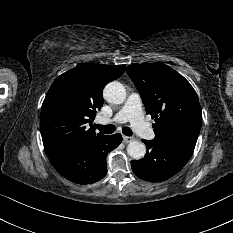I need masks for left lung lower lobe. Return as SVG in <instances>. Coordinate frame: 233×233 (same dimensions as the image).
I'll return each instance as SVG.
<instances>
[{"mask_svg": "<svg viewBox=\"0 0 233 233\" xmlns=\"http://www.w3.org/2000/svg\"><path fill=\"white\" fill-rule=\"evenodd\" d=\"M147 147L143 159L132 160L139 178L149 182L164 181L179 172L190 159L195 146L185 142L143 140Z\"/></svg>", "mask_w": 233, "mask_h": 233, "instance_id": "obj_1", "label": "left lung lower lobe"}]
</instances>
